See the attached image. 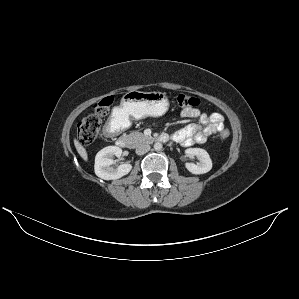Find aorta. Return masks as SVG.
<instances>
[{
    "label": "aorta",
    "instance_id": "aorta-1",
    "mask_svg": "<svg viewBox=\"0 0 299 299\" xmlns=\"http://www.w3.org/2000/svg\"><path fill=\"white\" fill-rule=\"evenodd\" d=\"M162 144L160 143V142H156L155 144H154V149L156 150V151H160L161 149H162Z\"/></svg>",
    "mask_w": 299,
    "mask_h": 299
}]
</instances>
